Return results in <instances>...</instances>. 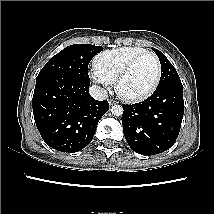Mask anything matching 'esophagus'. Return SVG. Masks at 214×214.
<instances>
[{
  "label": "esophagus",
  "mask_w": 214,
  "mask_h": 214,
  "mask_svg": "<svg viewBox=\"0 0 214 214\" xmlns=\"http://www.w3.org/2000/svg\"><path fill=\"white\" fill-rule=\"evenodd\" d=\"M117 102L115 100H112V99H109V104L110 105H113V104H116Z\"/></svg>",
  "instance_id": "34e87169"
}]
</instances>
